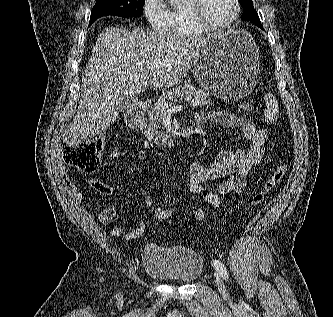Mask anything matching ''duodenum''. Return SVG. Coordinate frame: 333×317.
<instances>
[{
  "instance_id": "duodenum-1",
  "label": "duodenum",
  "mask_w": 333,
  "mask_h": 317,
  "mask_svg": "<svg viewBox=\"0 0 333 317\" xmlns=\"http://www.w3.org/2000/svg\"><path fill=\"white\" fill-rule=\"evenodd\" d=\"M152 100L147 98L136 105L126 116V124L130 129H137L144 121L146 111L151 107Z\"/></svg>"
}]
</instances>
